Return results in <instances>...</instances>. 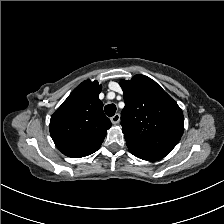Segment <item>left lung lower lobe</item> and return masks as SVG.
Wrapping results in <instances>:
<instances>
[{"label": "left lung lower lobe", "mask_w": 224, "mask_h": 224, "mask_svg": "<svg viewBox=\"0 0 224 224\" xmlns=\"http://www.w3.org/2000/svg\"><path fill=\"white\" fill-rule=\"evenodd\" d=\"M129 151L136 157L143 159V160H147V161H156L159 160L165 156L159 155V154H155V153H151V152H147V151H143L140 149H135L132 147H128Z\"/></svg>", "instance_id": "left-lung-lower-lobe-1"}]
</instances>
